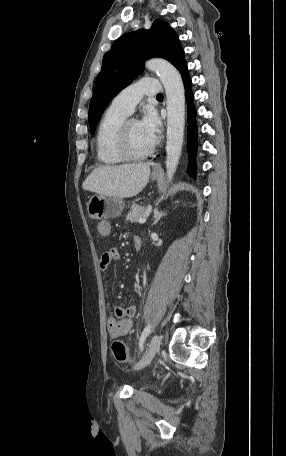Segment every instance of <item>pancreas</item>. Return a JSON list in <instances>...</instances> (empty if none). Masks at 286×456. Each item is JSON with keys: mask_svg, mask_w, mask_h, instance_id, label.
I'll return each instance as SVG.
<instances>
[{"mask_svg": "<svg viewBox=\"0 0 286 456\" xmlns=\"http://www.w3.org/2000/svg\"><path fill=\"white\" fill-rule=\"evenodd\" d=\"M146 212V208L137 204L131 206V210L126 216V220L130 222H138V219L143 217Z\"/></svg>", "mask_w": 286, "mask_h": 456, "instance_id": "obj_1", "label": "pancreas"}]
</instances>
